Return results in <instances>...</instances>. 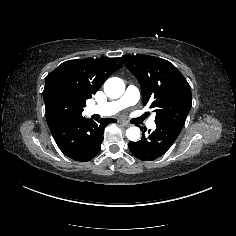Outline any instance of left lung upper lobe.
Segmentation results:
<instances>
[{"mask_svg":"<svg viewBox=\"0 0 236 236\" xmlns=\"http://www.w3.org/2000/svg\"><path fill=\"white\" fill-rule=\"evenodd\" d=\"M125 65L138 79L143 104L156 112L155 123L184 125L191 109V87L169 61L147 55L123 56Z\"/></svg>","mask_w":236,"mask_h":236,"instance_id":"1","label":"left lung upper lobe"}]
</instances>
